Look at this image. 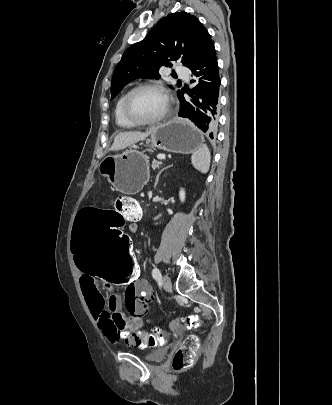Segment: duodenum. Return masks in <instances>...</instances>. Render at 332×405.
I'll use <instances>...</instances> for the list:
<instances>
[{
    "label": "duodenum",
    "mask_w": 332,
    "mask_h": 405,
    "mask_svg": "<svg viewBox=\"0 0 332 405\" xmlns=\"http://www.w3.org/2000/svg\"><path fill=\"white\" fill-rule=\"evenodd\" d=\"M141 217H142L141 213H136V214L132 215V219L134 221H139L141 219Z\"/></svg>",
    "instance_id": "410a0bca"
}]
</instances>
